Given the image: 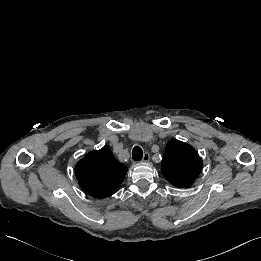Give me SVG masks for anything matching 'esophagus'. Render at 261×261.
<instances>
[{
    "label": "esophagus",
    "mask_w": 261,
    "mask_h": 261,
    "mask_svg": "<svg viewBox=\"0 0 261 261\" xmlns=\"http://www.w3.org/2000/svg\"><path fill=\"white\" fill-rule=\"evenodd\" d=\"M142 160L143 162H148L150 160V155L148 152H145Z\"/></svg>",
    "instance_id": "esophagus-1"
}]
</instances>
